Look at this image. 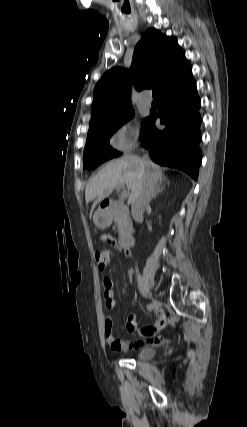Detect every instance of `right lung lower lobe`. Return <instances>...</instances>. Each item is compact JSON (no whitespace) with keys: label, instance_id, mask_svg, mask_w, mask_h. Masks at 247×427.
Here are the masks:
<instances>
[{"label":"right lung lower lobe","instance_id":"1","mask_svg":"<svg viewBox=\"0 0 247 427\" xmlns=\"http://www.w3.org/2000/svg\"><path fill=\"white\" fill-rule=\"evenodd\" d=\"M160 108L148 118L146 139L143 144L149 149L151 159L163 166L183 170L194 180L198 178L202 153L198 147L201 140L198 109L200 99L196 93V83L191 67L174 79L160 94ZM186 109L191 112L185 115ZM160 118L165 129L160 131L154 123Z\"/></svg>","mask_w":247,"mask_h":427}]
</instances>
